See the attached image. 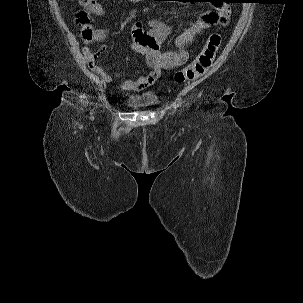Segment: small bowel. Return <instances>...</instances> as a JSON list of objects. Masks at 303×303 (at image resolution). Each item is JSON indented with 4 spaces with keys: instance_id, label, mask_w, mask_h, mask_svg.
Masks as SVG:
<instances>
[{
    "instance_id": "c3829d8e",
    "label": "small bowel",
    "mask_w": 303,
    "mask_h": 303,
    "mask_svg": "<svg viewBox=\"0 0 303 303\" xmlns=\"http://www.w3.org/2000/svg\"><path fill=\"white\" fill-rule=\"evenodd\" d=\"M132 3L141 0H129ZM91 15L100 16L104 13V6L101 2L93 0L88 5ZM230 13L228 5H219L216 10L207 11L192 22L181 34H179L174 42L175 50L162 51L161 46L171 33V27L162 20L150 19L148 21L149 31L143 29L141 22H135L131 25L130 31L133 37L132 47L135 51L141 53L145 57L149 73L138 77L134 80H125L118 85L121 91H142L152 86L161 76L164 69H174L180 67L188 60V52L186 45L192 42L194 37L203 30L218 24H226ZM105 32H101L100 36H104ZM144 39H150L146 42ZM101 49L85 47L83 49L84 56L90 67L104 82L110 83L121 78L120 73H112L105 67L98 64L101 56Z\"/></svg>"
}]
</instances>
